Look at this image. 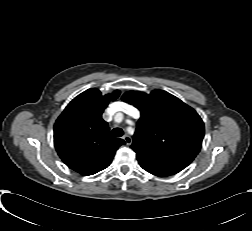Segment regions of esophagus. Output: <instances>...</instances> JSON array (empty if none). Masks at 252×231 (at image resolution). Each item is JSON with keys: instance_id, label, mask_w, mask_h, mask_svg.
I'll return each instance as SVG.
<instances>
[{"instance_id": "1", "label": "esophagus", "mask_w": 252, "mask_h": 231, "mask_svg": "<svg viewBox=\"0 0 252 231\" xmlns=\"http://www.w3.org/2000/svg\"><path fill=\"white\" fill-rule=\"evenodd\" d=\"M123 139L127 145H130L132 143V138L129 135H124Z\"/></svg>"}]
</instances>
